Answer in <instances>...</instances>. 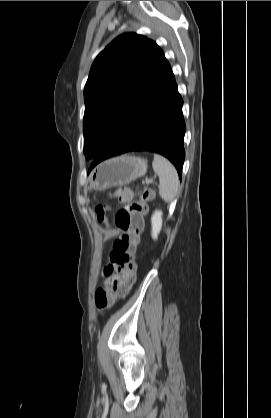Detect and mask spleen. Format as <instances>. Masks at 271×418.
<instances>
[{
  "label": "spleen",
  "instance_id": "spleen-1",
  "mask_svg": "<svg viewBox=\"0 0 271 418\" xmlns=\"http://www.w3.org/2000/svg\"><path fill=\"white\" fill-rule=\"evenodd\" d=\"M152 167L154 172L159 176V194L161 198L171 203L176 197L179 190V177L175 167L166 158L155 154Z\"/></svg>",
  "mask_w": 271,
  "mask_h": 418
}]
</instances>
